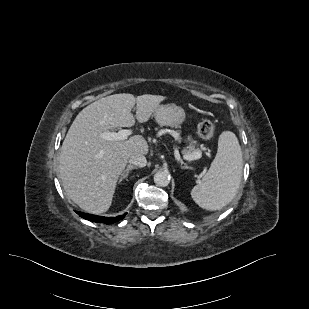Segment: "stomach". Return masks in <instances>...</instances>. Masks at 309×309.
Instances as JSON below:
<instances>
[{
    "instance_id": "0dacf381",
    "label": "stomach",
    "mask_w": 309,
    "mask_h": 309,
    "mask_svg": "<svg viewBox=\"0 0 309 309\" xmlns=\"http://www.w3.org/2000/svg\"><path fill=\"white\" fill-rule=\"evenodd\" d=\"M157 123L161 126L180 128L185 121V110L175 104L160 105L154 112Z\"/></svg>"
}]
</instances>
